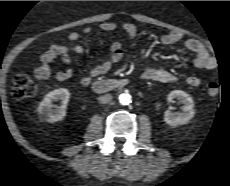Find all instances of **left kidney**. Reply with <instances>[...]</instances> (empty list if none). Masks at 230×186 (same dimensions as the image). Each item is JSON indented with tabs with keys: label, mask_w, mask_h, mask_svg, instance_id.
I'll use <instances>...</instances> for the list:
<instances>
[{
	"label": "left kidney",
	"mask_w": 230,
	"mask_h": 186,
	"mask_svg": "<svg viewBox=\"0 0 230 186\" xmlns=\"http://www.w3.org/2000/svg\"><path fill=\"white\" fill-rule=\"evenodd\" d=\"M174 99L182 102L184 106L182 112H171L170 109L165 111L164 120L172 127L187 123L195 115L194 102L189 94L182 90H173L168 94L167 100L172 102Z\"/></svg>",
	"instance_id": "1"
}]
</instances>
